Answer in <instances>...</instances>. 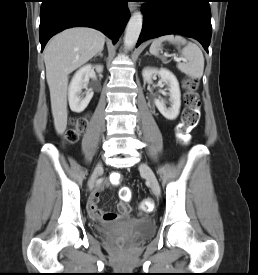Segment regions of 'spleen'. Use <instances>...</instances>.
Wrapping results in <instances>:
<instances>
[{
    "label": "spleen",
    "instance_id": "3e777b00",
    "mask_svg": "<svg viewBox=\"0 0 258 275\" xmlns=\"http://www.w3.org/2000/svg\"><path fill=\"white\" fill-rule=\"evenodd\" d=\"M169 41L170 43L181 45L184 47L180 50L181 55L186 62L178 63V69L193 79H200L204 71V56L201 49L194 43L188 42L185 38L179 35H166L155 39L150 46V53L159 56L161 50V43Z\"/></svg>",
    "mask_w": 258,
    "mask_h": 275
}]
</instances>
